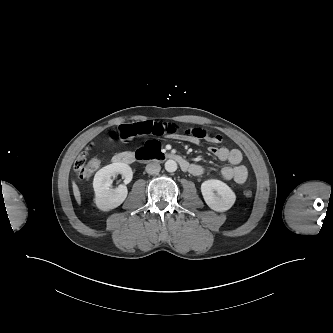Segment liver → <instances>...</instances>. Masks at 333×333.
I'll return each instance as SVG.
<instances>
[{
  "mask_svg": "<svg viewBox=\"0 0 333 333\" xmlns=\"http://www.w3.org/2000/svg\"><path fill=\"white\" fill-rule=\"evenodd\" d=\"M72 187H73V194L75 196V199H76L77 203L80 205L81 204V194H80L79 188L75 182H73Z\"/></svg>",
  "mask_w": 333,
  "mask_h": 333,
  "instance_id": "1",
  "label": "liver"
}]
</instances>
